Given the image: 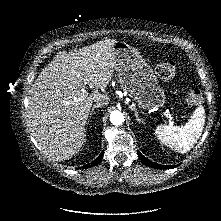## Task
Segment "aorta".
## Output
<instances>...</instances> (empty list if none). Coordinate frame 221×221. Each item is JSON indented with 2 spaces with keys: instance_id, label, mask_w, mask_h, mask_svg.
<instances>
[{
  "instance_id": "obj_1",
  "label": "aorta",
  "mask_w": 221,
  "mask_h": 221,
  "mask_svg": "<svg viewBox=\"0 0 221 221\" xmlns=\"http://www.w3.org/2000/svg\"><path fill=\"white\" fill-rule=\"evenodd\" d=\"M110 121L113 125L119 126L124 122V115L120 111H113L110 114Z\"/></svg>"
}]
</instances>
